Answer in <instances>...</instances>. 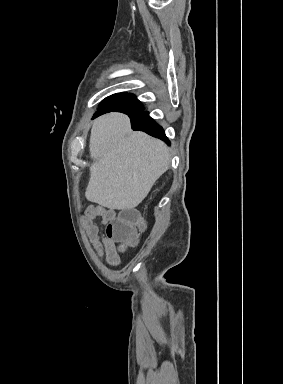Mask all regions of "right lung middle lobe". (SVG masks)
Listing matches in <instances>:
<instances>
[{
    "label": "right lung middle lobe",
    "instance_id": "dd1d6c3e",
    "mask_svg": "<svg viewBox=\"0 0 283 384\" xmlns=\"http://www.w3.org/2000/svg\"><path fill=\"white\" fill-rule=\"evenodd\" d=\"M116 107H128L136 110H143L139 100L132 94H114L105 98L99 109H111Z\"/></svg>",
    "mask_w": 283,
    "mask_h": 384
}]
</instances>
